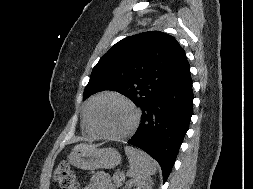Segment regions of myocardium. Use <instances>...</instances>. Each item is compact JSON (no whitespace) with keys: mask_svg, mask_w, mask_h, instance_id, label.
<instances>
[{"mask_svg":"<svg viewBox=\"0 0 253 189\" xmlns=\"http://www.w3.org/2000/svg\"><path fill=\"white\" fill-rule=\"evenodd\" d=\"M107 97H114L123 101L125 104H127L130 107V109L133 112L134 117H133V122L131 126L129 127L127 131L121 134H110V133L104 132L98 127V125L95 122L94 108L101 99H104ZM88 120H89V124L91 128L98 136L105 139H109V140H123L133 135L138 129L140 125V121H141V111L132 100H130L128 97L124 96L123 94H120L117 92H104V93L99 94L92 100L89 110H88Z\"/></svg>","mask_w":253,"mask_h":189,"instance_id":"f54148a6","label":"myocardium"}]
</instances>
